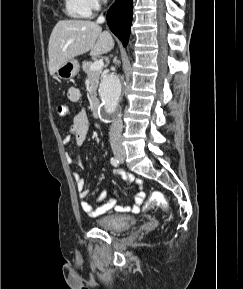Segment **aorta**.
Listing matches in <instances>:
<instances>
[{
    "label": "aorta",
    "mask_w": 243,
    "mask_h": 289,
    "mask_svg": "<svg viewBox=\"0 0 243 289\" xmlns=\"http://www.w3.org/2000/svg\"><path fill=\"white\" fill-rule=\"evenodd\" d=\"M122 93V84L115 74L106 75L99 88L102 110L106 116L115 114Z\"/></svg>",
    "instance_id": "762f6f07"
}]
</instances>
